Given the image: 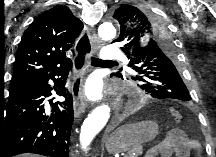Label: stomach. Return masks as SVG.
<instances>
[{"mask_svg": "<svg viewBox=\"0 0 216 157\" xmlns=\"http://www.w3.org/2000/svg\"><path fill=\"white\" fill-rule=\"evenodd\" d=\"M157 134L158 125L153 121L124 125L107 138L106 150L111 154L129 152L141 143L154 139Z\"/></svg>", "mask_w": 216, "mask_h": 157, "instance_id": "stomach-1", "label": "stomach"}]
</instances>
